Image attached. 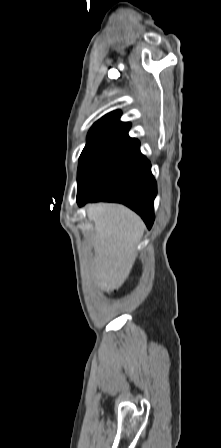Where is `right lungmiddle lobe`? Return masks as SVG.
<instances>
[{"label": "right lung middle lobe", "instance_id": "obj_1", "mask_svg": "<svg viewBox=\"0 0 221 448\" xmlns=\"http://www.w3.org/2000/svg\"><path fill=\"white\" fill-rule=\"evenodd\" d=\"M113 150L110 147L84 148L80 158L77 173V193L81 190L95 168Z\"/></svg>", "mask_w": 221, "mask_h": 448}]
</instances>
